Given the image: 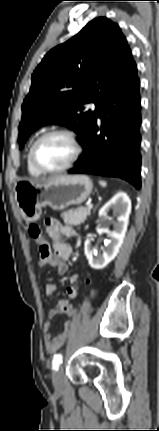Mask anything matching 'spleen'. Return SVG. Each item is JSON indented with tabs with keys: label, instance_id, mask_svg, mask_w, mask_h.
<instances>
[{
	"label": "spleen",
	"instance_id": "3e777b00",
	"mask_svg": "<svg viewBox=\"0 0 159 431\" xmlns=\"http://www.w3.org/2000/svg\"><path fill=\"white\" fill-rule=\"evenodd\" d=\"M99 184H100L101 186H103V187H106V185H107V183H106L105 181H103V180H100V181H99Z\"/></svg>",
	"mask_w": 159,
	"mask_h": 431
}]
</instances>
